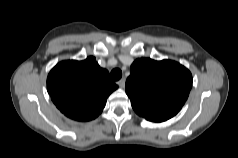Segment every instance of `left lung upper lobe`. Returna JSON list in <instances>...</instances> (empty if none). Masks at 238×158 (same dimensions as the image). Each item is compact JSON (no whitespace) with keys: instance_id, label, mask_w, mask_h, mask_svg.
Masks as SVG:
<instances>
[{"instance_id":"5c2ea615","label":"left lung upper lobe","mask_w":238,"mask_h":158,"mask_svg":"<svg viewBox=\"0 0 238 158\" xmlns=\"http://www.w3.org/2000/svg\"><path fill=\"white\" fill-rule=\"evenodd\" d=\"M192 75L181 64L150 58L134 61L126 81V93L134 111L153 122L175 116L188 98Z\"/></svg>"}]
</instances>
